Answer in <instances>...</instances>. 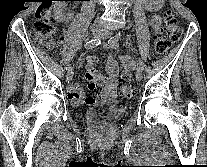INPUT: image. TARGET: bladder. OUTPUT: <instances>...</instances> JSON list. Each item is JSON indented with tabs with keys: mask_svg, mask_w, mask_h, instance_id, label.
I'll return each mask as SVG.
<instances>
[{
	"mask_svg": "<svg viewBox=\"0 0 207 167\" xmlns=\"http://www.w3.org/2000/svg\"><path fill=\"white\" fill-rule=\"evenodd\" d=\"M108 104H112V102L111 101H109V102H107Z\"/></svg>",
	"mask_w": 207,
	"mask_h": 167,
	"instance_id": "obj_1",
	"label": "bladder"
}]
</instances>
